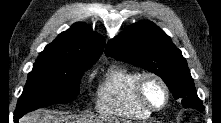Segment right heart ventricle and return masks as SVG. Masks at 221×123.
<instances>
[{
  "instance_id": "1",
  "label": "right heart ventricle",
  "mask_w": 221,
  "mask_h": 123,
  "mask_svg": "<svg viewBox=\"0 0 221 123\" xmlns=\"http://www.w3.org/2000/svg\"><path fill=\"white\" fill-rule=\"evenodd\" d=\"M140 72L121 65H112L97 88L96 110L106 116L144 120L151 112L135 95V82Z\"/></svg>"
}]
</instances>
